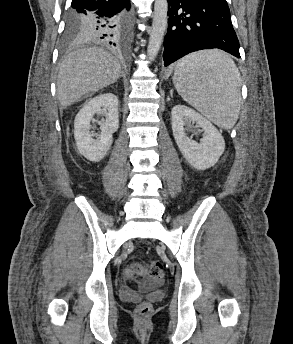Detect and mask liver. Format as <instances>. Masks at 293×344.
<instances>
[{
	"label": "liver",
	"mask_w": 293,
	"mask_h": 344,
	"mask_svg": "<svg viewBox=\"0 0 293 344\" xmlns=\"http://www.w3.org/2000/svg\"><path fill=\"white\" fill-rule=\"evenodd\" d=\"M121 76L117 58L103 49L90 47L69 53L60 64L57 95L60 105L67 108L88 93H95Z\"/></svg>",
	"instance_id": "6515ba94"
}]
</instances>
